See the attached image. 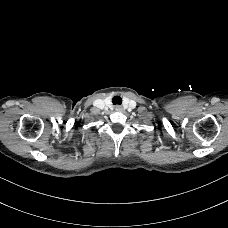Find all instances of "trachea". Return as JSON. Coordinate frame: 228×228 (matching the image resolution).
Returning <instances> with one entry per match:
<instances>
[{"mask_svg":"<svg viewBox=\"0 0 228 228\" xmlns=\"http://www.w3.org/2000/svg\"><path fill=\"white\" fill-rule=\"evenodd\" d=\"M112 102L114 105L116 104H121L122 103V99L120 96H114L113 99H112Z\"/></svg>","mask_w":228,"mask_h":228,"instance_id":"1","label":"trachea"}]
</instances>
